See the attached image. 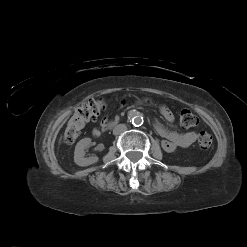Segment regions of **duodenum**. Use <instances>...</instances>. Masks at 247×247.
Listing matches in <instances>:
<instances>
[{"label": "duodenum", "mask_w": 247, "mask_h": 247, "mask_svg": "<svg viewBox=\"0 0 247 247\" xmlns=\"http://www.w3.org/2000/svg\"><path fill=\"white\" fill-rule=\"evenodd\" d=\"M117 124V121L113 120V121H109L107 124H106V128H111L113 127L114 125Z\"/></svg>", "instance_id": "410a0bca"}]
</instances>
